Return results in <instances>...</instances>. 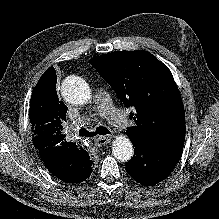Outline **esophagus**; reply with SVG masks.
Masks as SVG:
<instances>
[{"label":"esophagus","instance_id":"1","mask_svg":"<svg viewBox=\"0 0 219 219\" xmlns=\"http://www.w3.org/2000/svg\"><path fill=\"white\" fill-rule=\"evenodd\" d=\"M112 137L110 135H107V136H100L98 138H96L95 140V144L96 146H105L107 145L108 143H110Z\"/></svg>","mask_w":219,"mask_h":219}]
</instances>
